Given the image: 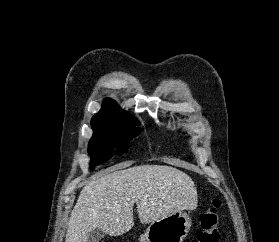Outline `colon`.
I'll use <instances>...</instances> for the list:
<instances>
[{
	"mask_svg": "<svg viewBox=\"0 0 279 242\" xmlns=\"http://www.w3.org/2000/svg\"><path fill=\"white\" fill-rule=\"evenodd\" d=\"M221 201L215 199L200 215L201 229L191 242H219V211Z\"/></svg>",
	"mask_w": 279,
	"mask_h": 242,
	"instance_id": "5ec220e1",
	"label": "colon"
}]
</instances>
